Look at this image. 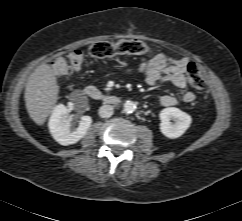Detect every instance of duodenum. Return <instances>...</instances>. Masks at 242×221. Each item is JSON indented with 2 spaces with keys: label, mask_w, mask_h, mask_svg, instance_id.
Masks as SVG:
<instances>
[{
  "label": "duodenum",
  "mask_w": 242,
  "mask_h": 221,
  "mask_svg": "<svg viewBox=\"0 0 242 221\" xmlns=\"http://www.w3.org/2000/svg\"><path fill=\"white\" fill-rule=\"evenodd\" d=\"M83 92L89 98L96 101L104 102L106 104L116 105L119 102L118 97H116L115 95L104 93L94 86L85 87L83 89Z\"/></svg>",
  "instance_id": "duodenum-1"
}]
</instances>
